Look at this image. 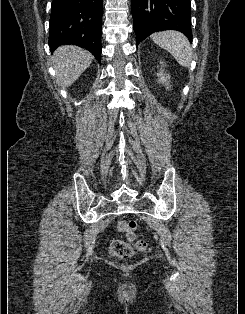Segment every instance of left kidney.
I'll use <instances>...</instances> for the list:
<instances>
[{
    "label": "left kidney",
    "instance_id": "left-kidney-1",
    "mask_svg": "<svg viewBox=\"0 0 245 314\" xmlns=\"http://www.w3.org/2000/svg\"><path fill=\"white\" fill-rule=\"evenodd\" d=\"M161 64L163 65V62H161ZM157 76L160 77L159 80H158V82H159V83H162V84L165 83L166 88L169 89V81H168L169 76L163 74V71H162V70H161L159 73H157Z\"/></svg>",
    "mask_w": 245,
    "mask_h": 314
}]
</instances>
